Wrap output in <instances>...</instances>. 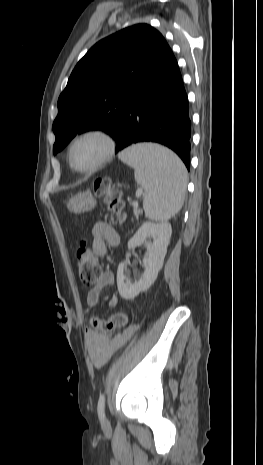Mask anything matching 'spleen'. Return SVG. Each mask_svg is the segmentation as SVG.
Segmentation results:
<instances>
[{
  "label": "spleen",
  "instance_id": "1",
  "mask_svg": "<svg viewBox=\"0 0 263 465\" xmlns=\"http://www.w3.org/2000/svg\"><path fill=\"white\" fill-rule=\"evenodd\" d=\"M119 157L134 168L136 182L146 191L143 208L148 219L166 222L180 211L187 170L175 153L156 144H138Z\"/></svg>",
  "mask_w": 263,
  "mask_h": 465
}]
</instances>
